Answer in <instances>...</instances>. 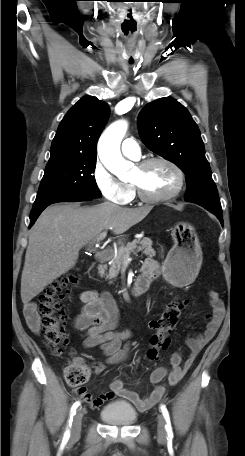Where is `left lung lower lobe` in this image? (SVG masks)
<instances>
[{"mask_svg": "<svg viewBox=\"0 0 245 456\" xmlns=\"http://www.w3.org/2000/svg\"><path fill=\"white\" fill-rule=\"evenodd\" d=\"M212 213L220 220L221 224L223 225L222 213H216V212H212Z\"/></svg>", "mask_w": 245, "mask_h": 456, "instance_id": "0a47b994", "label": "left lung lower lobe"}]
</instances>
